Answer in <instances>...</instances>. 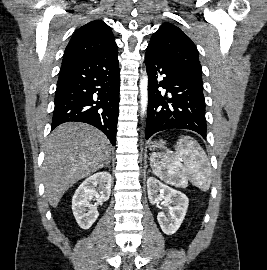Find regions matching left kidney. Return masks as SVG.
Instances as JSON below:
<instances>
[{"label": "left kidney", "instance_id": "5707ae66", "mask_svg": "<svg viewBox=\"0 0 267 270\" xmlns=\"http://www.w3.org/2000/svg\"><path fill=\"white\" fill-rule=\"evenodd\" d=\"M147 192L150 203L159 204L164 201L165 205L170 207V218H167L164 212L157 216L158 223L166 235L174 234L181 226L189 205L188 197L182 192L162 183L155 177L147 179Z\"/></svg>", "mask_w": 267, "mask_h": 270}]
</instances>
